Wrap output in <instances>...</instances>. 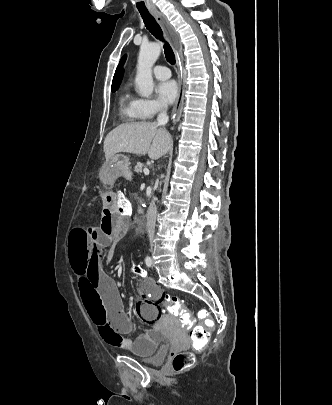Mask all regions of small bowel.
<instances>
[{
    "label": "small bowel",
    "instance_id": "obj_1",
    "mask_svg": "<svg viewBox=\"0 0 332 405\" xmlns=\"http://www.w3.org/2000/svg\"><path fill=\"white\" fill-rule=\"evenodd\" d=\"M114 166L115 161L108 159L99 171L100 178L105 182L100 225L94 228L77 225L70 231L69 264L76 276L77 298H81L84 314L92 320V326L97 327L102 340L124 350L151 353L157 344L167 342L166 335L160 333L158 323L165 288L155 285L146 273L138 287L140 300L135 305V312L153 327L134 340L125 338L124 335L132 331L133 322L124 310L115 281L103 271L101 264V250L113 247L129 231L127 221L121 220L114 210L118 202L117 192L110 184L117 179Z\"/></svg>",
    "mask_w": 332,
    "mask_h": 405
}]
</instances>
